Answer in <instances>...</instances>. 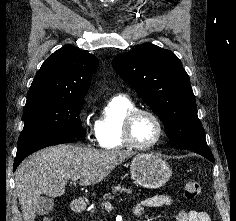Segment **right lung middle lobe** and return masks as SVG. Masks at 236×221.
Segmentation results:
<instances>
[{"label": "right lung middle lobe", "mask_w": 236, "mask_h": 221, "mask_svg": "<svg viewBox=\"0 0 236 221\" xmlns=\"http://www.w3.org/2000/svg\"><path fill=\"white\" fill-rule=\"evenodd\" d=\"M82 104L83 97L27 96L18 144L41 137H83L79 117Z\"/></svg>", "instance_id": "1"}]
</instances>
